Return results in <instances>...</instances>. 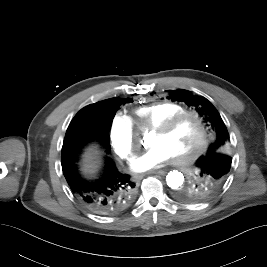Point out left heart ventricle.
<instances>
[{
    "mask_svg": "<svg viewBox=\"0 0 267 267\" xmlns=\"http://www.w3.org/2000/svg\"><path fill=\"white\" fill-rule=\"evenodd\" d=\"M201 131L194 118H186L167 134L155 133L150 145H160L167 150L171 158L189 155L196 148Z\"/></svg>",
    "mask_w": 267,
    "mask_h": 267,
    "instance_id": "obj_1",
    "label": "left heart ventricle"
}]
</instances>
